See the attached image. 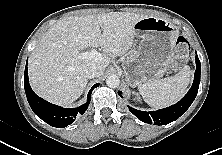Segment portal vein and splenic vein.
<instances>
[{
	"instance_id": "portal-vein-and-splenic-vein-1",
	"label": "portal vein and splenic vein",
	"mask_w": 222,
	"mask_h": 155,
	"mask_svg": "<svg viewBox=\"0 0 222 155\" xmlns=\"http://www.w3.org/2000/svg\"><path fill=\"white\" fill-rule=\"evenodd\" d=\"M80 57L82 59H89V60H94V61H101L103 59V55L95 49L89 52L82 53Z\"/></svg>"
}]
</instances>
